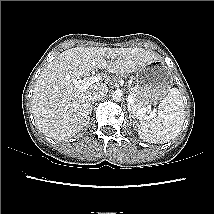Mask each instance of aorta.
I'll return each instance as SVG.
<instances>
[{
  "label": "aorta",
  "mask_w": 214,
  "mask_h": 214,
  "mask_svg": "<svg viewBox=\"0 0 214 214\" xmlns=\"http://www.w3.org/2000/svg\"><path fill=\"white\" fill-rule=\"evenodd\" d=\"M112 99H113L115 102H120V101H122V99H123L122 91L116 90V91L112 94Z\"/></svg>",
  "instance_id": "1"
}]
</instances>
